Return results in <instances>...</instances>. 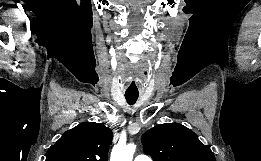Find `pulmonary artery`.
Listing matches in <instances>:
<instances>
[{
	"mask_svg": "<svg viewBox=\"0 0 261 161\" xmlns=\"http://www.w3.org/2000/svg\"><path fill=\"white\" fill-rule=\"evenodd\" d=\"M134 161H152V159L145 154H138Z\"/></svg>",
	"mask_w": 261,
	"mask_h": 161,
	"instance_id": "1",
	"label": "pulmonary artery"
}]
</instances>
